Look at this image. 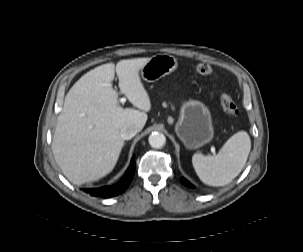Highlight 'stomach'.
Listing matches in <instances>:
<instances>
[{
    "label": "stomach",
    "mask_w": 303,
    "mask_h": 252,
    "mask_svg": "<svg viewBox=\"0 0 303 252\" xmlns=\"http://www.w3.org/2000/svg\"><path fill=\"white\" fill-rule=\"evenodd\" d=\"M177 66V59L172 55H155L142 67L141 76L147 82H155L172 73ZM175 133L187 149H197L209 143L214 129L208 107L197 100L183 103Z\"/></svg>",
    "instance_id": "obj_1"
}]
</instances>
